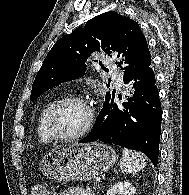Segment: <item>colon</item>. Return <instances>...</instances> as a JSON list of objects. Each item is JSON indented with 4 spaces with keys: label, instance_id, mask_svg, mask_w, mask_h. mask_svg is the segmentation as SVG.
<instances>
[{
    "label": "colon",
    "instance_id": "obj_1",
    "mask_svg": "<svg viewBox=\"0 0 189 195\" xmlns=\"http://www.w3.org/2000/svg\"><path fill=\"white\" fill-rule=\"evenodd\" d=\"M31 195H52L51 192L43 185H36L31 191Z\"/></svg>",
    "mask_w": 189,
    "mask_h": 195
}]
</instances>
